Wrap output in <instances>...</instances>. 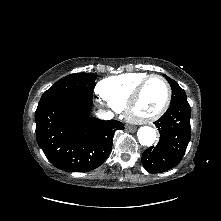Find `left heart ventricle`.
Listing matches in <instances>:
<instances>
[{
  "label": "left heart ventricle",
  "instance_id": "b2bd125f",
  "mask_svg": "<svg viewBox=\"0 0 221 221\" xmlns=\"http://www.w3.org/2000/svg\"><path fill=\"white\" fill-rule=\"evenodd\" d=\"M165 97L166 88L163 82L157 78L150 80L141 93L135 113L145 116L156 112L164 103Z\"/></svg>",
  "mask_w": 221,
  "mask_h": 221
}]
</instances>
